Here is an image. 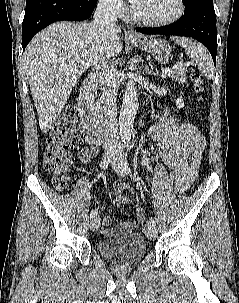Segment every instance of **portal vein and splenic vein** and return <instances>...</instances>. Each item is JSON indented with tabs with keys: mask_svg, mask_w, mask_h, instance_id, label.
<instances>
[{
	"mask_svg": "<svg viewBox=\"0 0 239 303\" xmlns=\"http://www.w3.org/2000/svg\"><path fill=\"white\" fill-rule=\"evenodd\" d=\"M182 65H183L182 63H177V65L175 66V68H176V67H180V66H182ZM162 72H163V73L171 72V69H170V68H163V69H162Z\"/></svg>",
	"mask_w": 239,
	"mask_h": 303,
	"instance_id": "obj_1",
	"label": "portal vein and splenic vein"
}]
</instances>
